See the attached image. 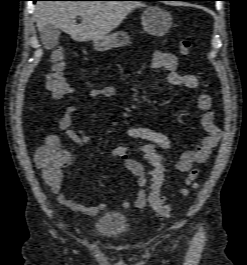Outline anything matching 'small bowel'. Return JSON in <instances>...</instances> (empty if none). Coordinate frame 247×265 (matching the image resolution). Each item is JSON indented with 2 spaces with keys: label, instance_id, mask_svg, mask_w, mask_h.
Here are the masks:
<instances>
[{
  "label": "small bowel",
  "instance_id": "1",
  "mask_svg": "<svg viewBox=\"0 0 247 265\" xmlns=\"http://www.w3.org/2000/svg\"><path fill=\"white\" fill-rule=\"evenodd\" d=\"M151 67L153 70H164L167 72V82L173 87H185L188 89H196L199 85L198 78L192 74H182L178 71V58L172 53L156 51L153 54ZM118 94L117 87L108 85L102 88L93 89L90 92L92 98L105 97L111 98ZM195 105L198 109L204 111L201 119V124L206 132L201 143L193 150L183 152L174 164V167L179 172H188L194 164L204 163L210 156L212 150L217 146L221 139V130L215 125V112L213 111V100L208 94H199L196 97ZM78 110V107L71 105L67 108L65 114L59 120V130L64 133L70 140L79 144L85 145L90 141V137L81 129L72 127V114ZM128 137L137 139L154 147H159L168 150L172 147L170 138L154 129L131 126L126 130ZM45 147L56 149L63 152L65 156V167H68L72 162V155L67 150L61 148L60 139L56 135H50L45 139ZM36 164L42 169L44 178L50 186L53 193L56 194L60 204L70 208L75 212H79L89 216H95L106 209L105 203H98L93 206H86L81 202L70 199L63 191L64 168L55 171H50L44 168L38 159L35 158ZM125 168L136 178V186L138 187L137 196L134 205L143 209L146 207L147 199V177L142 163L135 159H126L124 162ZM124 209L131 207V202L124 200L121 203Z\"/></svg>",
  "mask_w": 247,
  "mask_h": 265
}]
</instances>
